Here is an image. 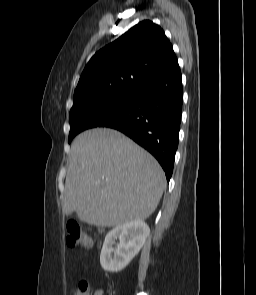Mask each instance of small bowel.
<instances>
[{"mask_svg": "<svg viewBox=\"0 0 256 295\" xmlns=\"http://www.w3.org/2000/svg\"><path fill=\"white\" fill-rule=\"evenodd\" d=\"M94 295H103V290L101 288H98L95 292Z\"/></svg>", "mask_w": 256, "mask_h": 295, "instance_id": "c3829d8e", "label": "small bowel"}]
</instances>
